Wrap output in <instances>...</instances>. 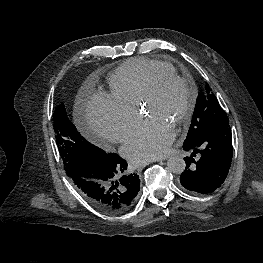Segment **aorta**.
I'll return each instance as SVG.
<instances>
[{"label": "aorta", "instance_id": "obj_1", "mask_svg": "<svg viewBox=\"0 0 263 263\" xmlns=\"http://www.w3.org/2000/svg\"><path fill=\"white\" fill-rule=\"evenodd\" d=\"M186 163L183 158L179 156H172L167 161V169L174 174H181L185 170Z\"/></svg>", "mask_w": 263, "mask_h": 263}]
</instances>
